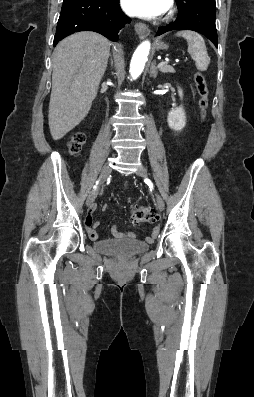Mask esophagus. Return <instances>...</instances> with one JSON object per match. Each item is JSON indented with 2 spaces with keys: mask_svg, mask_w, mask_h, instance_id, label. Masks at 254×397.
Masks as SVG:
<instances>
[{
  "mask_svg": "<svg viewBox=\"0 0 254 397\" xmlns=\"http://www.w3.org/2000/svg\"><path fill=\"white\" fill-rule=\"evenodd\" d=\"M135 32L138 34L140 39H144L150 34L149 27L145 23L141 22L135 25Z\"/></svg>",
  "mask_w": 254,
  "mask_h": 397,
  "instance_id": "1",
  "label": "esophagus"
}]
</instances>
